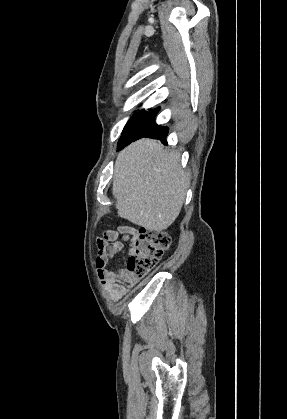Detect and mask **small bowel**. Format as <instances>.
<instances>
[{"label":"small bowel","instance_id":"1","mask_svg":"<svg viewBox=\"0 0 287 419\" xmlns=\"http://www.w3.org/2000/svg\"><path fill=\"white\" fill-rule=\"evenodd\" d=\"M136 234L134 228L120 226L117 230L104 233L103 238L97 243V274L111 298L116 301L128 293L129 288L136 282V276L121 268L109 270L107 264L122 250V240L131 241Z\"/></svg>","mask_w":287,"mask_h":419}]
</instances>
